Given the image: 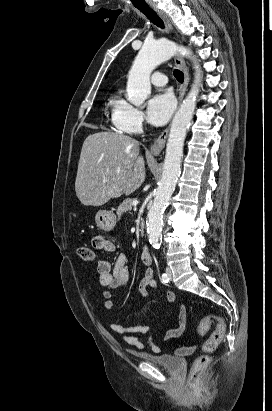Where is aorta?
<instances>
[{
    "label": "aorta",
    "mask_w": 272,
    "mask_h": 411,
    "mask_svg": "<svg viewBox=\"0 0 272 411\" xmlns=\"http://www.w3.org/2000/svg\"><path fill=\"white\" fill-rule=\"evenodd\" d=\"M176 52H180L188 58H191L192 55L190 50L167 39L144 43L129 71L126 89L129 102L135 106H141L144 103L151 93V72ZM194 68L196 70L194 84L171 124L162 178L147 216L148 238L155 249L160 247L163 214L176 187L180 174L184 140L196 108L201 71L196 62Z\"/></svg>",
    "instance_id": "1"
}]
</instances>
